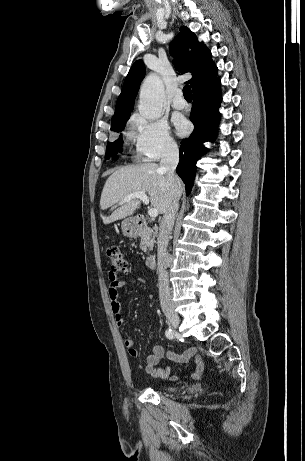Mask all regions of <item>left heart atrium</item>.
I'll list each match as a JSON object with an SVG mask.
<instances>
[{
  "label": "left heart atrium",
  "instance_id": "1",
  "mask_svg": "<svg viewBox=\"0 0 305 461\" xmlns=\"http://www.w3.org/2000/svg\"><path fill=\"white\" fill-rule=\"evenodd\" d=\"M176 130L179 135H185L189 130V124L183 117H176L174 120Z\"/></svg>",
  "mask_w": 305,
  "mask_h": 461
}]
</instances>
